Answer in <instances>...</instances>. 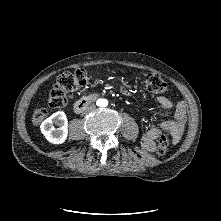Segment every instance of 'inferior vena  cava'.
I'll use <instances>...</instances> for the list:
<instances>
[{
    "label": "inferior vena cava",
    "instance_id": "inferior-vena-cava-1",
    "mask_svg": "<svg viewBox=\"0 0 221 221\" xmlns=\"http://www.w3.org/2000/svg\"><path fill=\"white\" fill-rule=\"evenodd\" d=\"M95 107H96V106H95L94 104H90V105H88V107L86 108V112H89V111L94 110Z\"/></svg>",
    "mask_w": 221,
    "mask_h": 221
}]
</instances>
